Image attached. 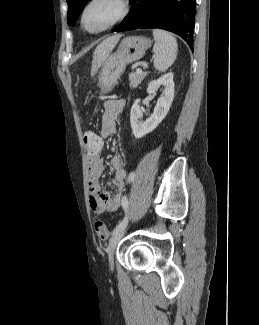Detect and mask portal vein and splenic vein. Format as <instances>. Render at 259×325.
Here are the masks:
<instances>
[{
    "label": "portal vein and splenic vein",
    "mask_w": 259,
    "mask_h": 325,
    "mask_svg": "<svg viewBox=\"0 0 259 325\" xmlns=\"http://www.w3.org/2000/svg\"><path fill=\"white\" fill-rule=\"evenodd\" d=\"M136 72H137V73H141V72H142V69L138 68V69L136 70Z\"/></svg>",
    "instance_id": "obj_1"
}]
</instances>
